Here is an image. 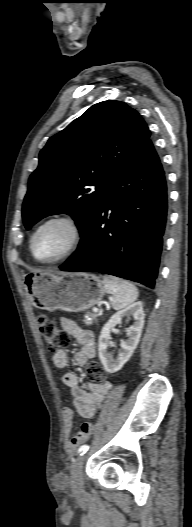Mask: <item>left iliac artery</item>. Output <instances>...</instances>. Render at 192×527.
<instances>
[{"mask_svg":"<svg viewBox=\"0 0 192 527\" xmlns=\"http://www.w3.org/2000/svg\"><path fill=\"white\" fill-rule=\"evenodd\" d=\"M89 446L88 445H82L79 449H78V454L79 455H83L86 453V451L88 450Z\"/></svg>","mask_w":192,"mask_h":527,"instance_id":"obj_1","label":"left iliac artery"}]
</instances>
